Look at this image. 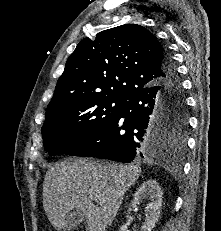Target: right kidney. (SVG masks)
Masks as SVG:
<instances>
[{"instance_id":"ca27d5eb","label":"right kidney","mask_w":221,"mask_h":231,"mask_svg":"<svg viewBox=\"0 0 221 231\" xmlns=\"http://www.w3.org/2000/svg\"><path fill=\"white\" fill-rule=\"evenodd\" d=\"M163 193L156 180H147L144 182L134 195L132 206L139 205L143 200H147L145 207V223L141 231H152L155 227L161 212ZM130 210V209H129ZM120 231H129L127 225H122Z\"/></svg>"}]
</instances>
